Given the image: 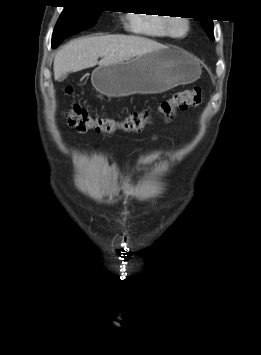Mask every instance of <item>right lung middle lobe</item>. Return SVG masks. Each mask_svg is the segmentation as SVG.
Segmentation results:
<instances>
[{
	"instance_id": "dd1d6c3e",
	"label": "right lung middle lobe",
	"mask_w": 261,
	"mask_h": 355,
	"mask_svg": "<svg viewBox=\"0 0 261 355\" xmlns=\"http://www.w3.org/2000/svg\"><path fill=\"white\" fill-rule=\"evenodd\" d=\"M103 10L72 3L65 7L55 26L52 43L93 27Z\"/></svg>"
}]
</instances>
